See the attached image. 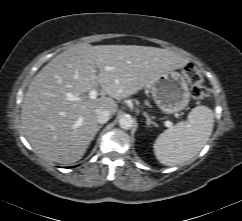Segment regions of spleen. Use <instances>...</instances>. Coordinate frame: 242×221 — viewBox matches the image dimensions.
<instances>
[{"mask_svg":"<svg viewBox=\"0 0 242 221\" xmlns=\"http://www.w3.org/2000/svg\"><path fill=\"white\" fill-rule=\"evenodd\" d=\"M213 126V111L206 106L194 107L187 121L165 130L155 140L153 149L157 160L166 166H175L190 160L206 144Z\"/></svg>","mask_w":242,"mask_h":221,"instance_id":"3e777b00","label":"spleen"}]
</instances>
